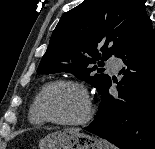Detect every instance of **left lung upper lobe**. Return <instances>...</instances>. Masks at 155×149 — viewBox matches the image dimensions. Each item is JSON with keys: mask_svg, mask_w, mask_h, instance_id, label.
Instances as JSON below:
<instances>
[{"mask_svg": "<svg viewBox=\"0 0 155 149\" xmlns=\"http://www.w3.org/2000/svg\"><path fill=\"white\" fill-rule=\"evenodd\" d=\"M146 0H85L65 13L37 73L70 72L99 91L111 80L100 61L115 55L148 18Z\"/></svg>", "mask_w": 155, "mask_h": 149, "instance_id": "obj_1", "label": "left lung upper lobe"}]
</instances>
